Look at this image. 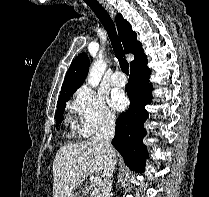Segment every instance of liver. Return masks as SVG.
Wrapping results in <instances>:
<instances>
[{"label": "liver", "instance_id": "liver-1", "mask_svg": "<svg viewBox=\"0 0 209 197\" xmlns=\"http://www.w3.org/2000/svg\"><path fill=\"white\" fill-rule=\"evenodd\" d=\"M106 157L104 144L95 136L60 147L53 161V197H66L89 175L103 170Z\"/></svg>", "mask_w": 209, "mask_h": 197}]
</instances>
